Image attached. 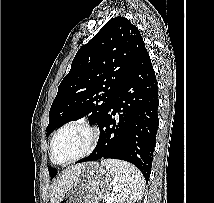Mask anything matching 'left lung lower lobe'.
Here are the masks:
<instances>
[{
  "label": "left lung lower lobe",
  "mask_w": 214,
  "mask_h": 203,
  "mask_svg": "<svg viewBox=\"0 0 214 203\" xmlns=\"http://www.w3.org/2000/svg\"><path fill=\"white\" fill-rule=\"evenodd\" d=\"M158 105L157 80L145 50L122 81L100 121L96 148L76 163L106 158L128 161L140 169L147 182L159 125ZM116 113L117 118H113Z\"/></svg>",
  "instance_id": "left-lung-lower-lobe-1"
}]
</instances>
